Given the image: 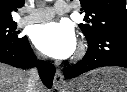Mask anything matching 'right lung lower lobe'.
I'll use <instances>...</instances> for the list:
<instances>
[{
  "label": "right lung lower lobe",
  "mask_w": 127,
  "mask_h": 92,
  "mask_svg": "<svg viewBox=\"0 0 127 92\" xmlns=\"http://www.w3.org/2000/svg\"><path fill=\"white\" fill-rule=\"evenodd\" d=\"M0 62L17 68H28L36 64L44 85L48 88L52 87L55 67L49 62L36 60L28 39L21 44L0 42Z\"/></svg>",
  "instance_id": "right-lung-lower-lobe-1"
}]
</instances>
